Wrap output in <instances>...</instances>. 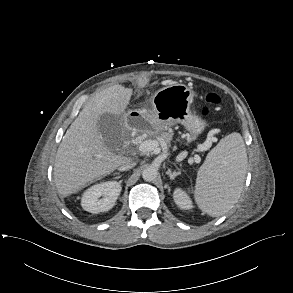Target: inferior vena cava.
<instances>
[{"label":"inferior vena cava","instance_id":"602c4592","mask_svg":"<svg viewBox=\"0 0 293 293\" xmlns=\"http://www.w3.org/2000/svg\"><path fill=\"white\" fill-rule=\"evenodd\" d=\"M136 165V163L130 159V158H126V160L123 162V164H121L118 168L119 171H126L129 170L131 168H133Z\"/></svg>","mask_w":293,"mask_h":293}]
</instances>
